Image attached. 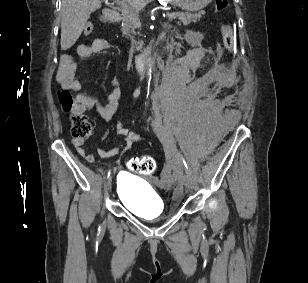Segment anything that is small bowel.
Listing matches in <instances>:
<instances>
[{"instance_id":"obj_1","label":"small bowel","mask_w":308,"mask_h":283,"mask_svg":"<svg viewBox=\"0 0 308 283\" xmlns=\"http://www.w3.org/2000/svg\"><path fill=\"white\" fill-rule=\"evenodd\" d=\"M108 48V42L103 38L95 39L90 44H82L78 47V54L81 57H91L94 54L106 51ZM57 80L64 90H73L78 92L76 96L77 106L75 112L84 113L85 111L95 108L99 116L104 121H110L118 108V100L121 95V91L118 87L114 88L107 97V102L101 104L96 98L82 91V84L77 77V65L75 61L65 56L61 59L57 73ZM130 121L118 122L115 126L118 135L122 136L124 143L122 147L128 150L135 142L140 139V135L137 132L131 131L129 128ZM73 144L77 153L83 157L87 162L93 163L95 161V155L88 153L85 148V140L73 139ZM120 147H115L110 150L99 148L97 154L101 158H108L118 153Z\"/></svg>"}]
</instances>
